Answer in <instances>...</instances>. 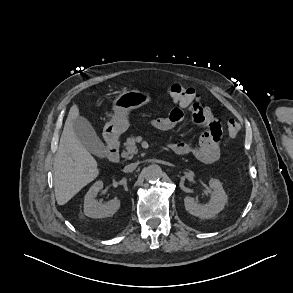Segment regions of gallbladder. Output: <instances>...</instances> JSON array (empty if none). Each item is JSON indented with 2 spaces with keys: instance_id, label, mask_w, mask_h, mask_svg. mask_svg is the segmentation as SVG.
<instances>
[{
  "instance_id": "1",
  "label": "gallbladder",
  "mask_w": 293,
  "mask_h": 293,
  "mask_svg": "<svg viewBox=\"0 0 293 293\" xmlns=\"http://www.w3.org/2000/svg\"><path fill=\"white\" fill-rule=\"evenodd\" d=\"M72 126L76 137L90 153L100 158L105 156V145L86 118L80 116L73 119Z\"/></svg>"
}]
</instances>
